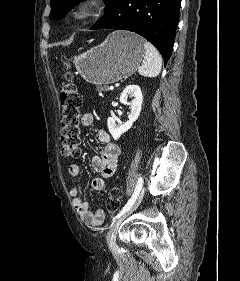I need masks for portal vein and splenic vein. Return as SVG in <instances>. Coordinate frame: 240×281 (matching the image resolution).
<instances>
[{
	"label": "portal vein and splenic vein",
	"instance_id": "18ae733b",
	"mask_svg": "<svg viewBox=\"0 0 240 281\" xmlns=\"http://www.w3.org/2000/svg\"><path fill=\"white\" fill-rule=\"evenodd\" d=\"M108 89L109 90H114V86H110Z\"/></svg>",
	"mask_w": 240,
	"mask_h": 281
}]
</instances>
